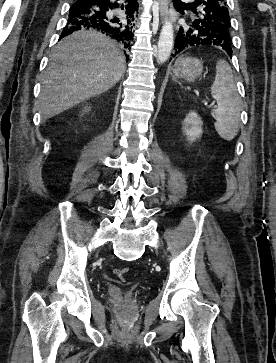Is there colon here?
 Listing matches in <instances>:
<instances>
[{
    "instance_id": "1",
    "label": "colon",
    "mask_w": 276,
    "mask_h": 363,
    "mask_svg": "<svg viewBox=\"0 0 276 363\" xmlns=\"http://www.w3.org/2000/svg\"><path fill=\"white\" fill-rule=\"evenodd\" d=\"M128 268H118L114 270V273L119 278H124V276L127 274Z\"/></svg>"
}]
</instances>
